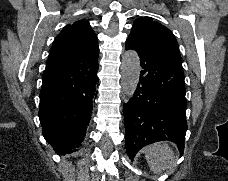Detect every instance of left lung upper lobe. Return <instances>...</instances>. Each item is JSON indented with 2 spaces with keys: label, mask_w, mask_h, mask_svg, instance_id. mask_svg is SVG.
I'll return each mask as SVG.
<instances>
[{
  "label": "left lung upper lobe",
  "mask_w": 228,
  "mask_h": 181,
  "mask_svg": "<svg viewBox=\"0 0 228 181\" xmlns=\"http://www.w3.org/2000/svg\"><path fill=\"white\" fill-rule=\"evenodd\" d=\"M131 42L146 49L182 60L177 40L173 33L152 18L137 19L128 37Z\"/></svg>",
  "instance_id": "1"
}]
</instances>
